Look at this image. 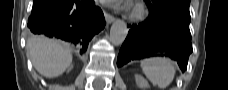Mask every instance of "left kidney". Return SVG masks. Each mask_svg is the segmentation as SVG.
I'll return each mask as SVG.
<instances>
[{"mask_svg":"<svg viewBox=\"0 0 228 90\" xmlns=\"http://www.w3.org/2000/svg\"><path fill=\"white\" fill-rule=\"evenodd\" d=\"M135 81H136V84L141 88L149 87L148 82L142 76H140L138 74H135Z\"/></svg>","mask_w":228,"mask_h":90,"instance_id":"obj_1","label":"left kidney"}]
</instances>
